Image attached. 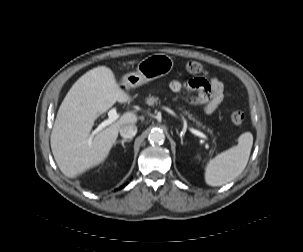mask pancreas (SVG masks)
<instances>
[{
  "label": "pancreas",
  "instance_id": "pancreas-1",
  "mask_svg": "<svg viewBox=\"0 0 303 252\" xmlns=\"http://www.w3.org/2000/svg\"><path fill=\"white\" fill-rule=\"evenodd\" d=\"M159 102H160L159 97L156 96L150 95L149 97L146 98V103L150 106H153L154 104H157ZM183 113L187 115L190 120L196 122V125L201 126V124L188 111L183 110ZM203 128H205V126H203ZM207 131L211 133V130L207 129Z\"/></svg>",
  "mask_w": 303,
  "mask_h": 252
}]
</instances>
